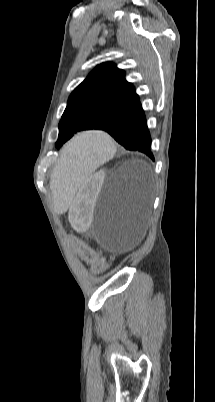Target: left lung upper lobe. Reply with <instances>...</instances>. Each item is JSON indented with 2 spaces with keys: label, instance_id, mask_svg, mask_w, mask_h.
Masks as SVG:
<instances>
[{
  "label": "left lung upper lobe",
  "instance_id": "5c2ea615",
  "mask_svg": "<svg viewBox=\"0 0 215 402\" xmlns=\"http://www.w3.org/2000/svg\"><path fill=\"white\" fill-rule=\"evenodd\" d=\"M124 76L113 63H103L75 88L59 122L57 148L78 131L96 129L138 98Z\"/></svg>",
  "mask_w": 215,
  "mask_h": 402
}]
</instances>
